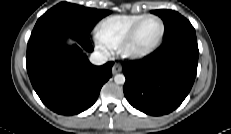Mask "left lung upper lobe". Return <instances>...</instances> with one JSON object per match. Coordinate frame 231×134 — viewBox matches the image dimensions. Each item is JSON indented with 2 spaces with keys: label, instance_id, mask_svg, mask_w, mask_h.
I'll use <instances>...</instances> for the list:
<instances>
[{
  "label": "left lung upper lobe",
  "instance_id": "5c2ea615",
  "mask_svg": "<svg viewBox=\"0 0 231 134\" xmlns=\"http://www.w3.org/2000/svg\"><path fill=\"white\" fill-rule=\"evenodd\" d=\"M153 14L164 20L165 35L164 40L184 33H195L191 23L182 15L172 10H153Z\"/></svg>",
  "mask_w": 231,
  "mask_h": 134
}]
</instances>
